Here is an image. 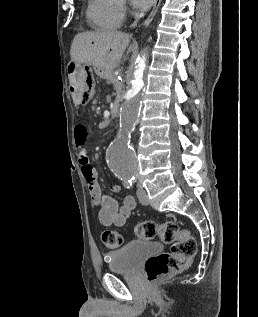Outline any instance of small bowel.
<instances>
[{
    "label": "small bowel",
    "instance_id": "1",
    "mask_svg": "<svg viewBox=\"0 0 258 317\" xmlns=\"http://www.w3.org/2000/svg\"><path fill=\"white\" fill-rule=\"evenodd\" d=\"M87 136V128L82 124L76 125L74 132L76 156L81 165L83 177L87 182L91 201L94 206L99 208V221L106 227L124 226L136 206V201L132 196H125L122 205H119L113 197L103 194L97 180V173L87 155ZM111 190L114 193L122 192V188L118 184L112 185Z\"/></svg>",
    "mask_w": 258,
    "mask_h": 317
}]
</instances>
